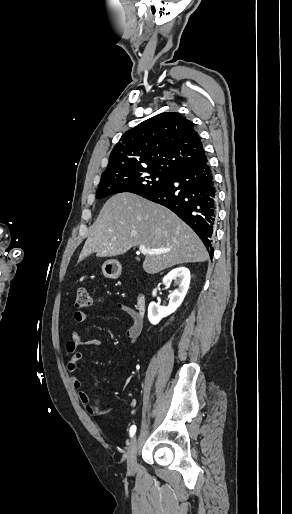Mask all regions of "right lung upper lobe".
Instances as JSON below:
<instances>
[{"label": "right lung upper lobe", "mask_w": 292, "mask_h": 514, "mask_svg": "<svg viewBox=\"0 0 292 514\" xmlns=\"http://www.w3.org/2000/svg\"><path fill=\"white\" fill-rule=\"evenodd\" d=\"M120 140L101 180L154 171L172 175L206 156L193 123L176 112L149 118Z\"/></svg>", "instance_id": "right-lung-upper-lobe-1"}]
</instances>
